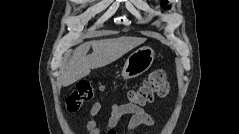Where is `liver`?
Instances as JSON below:
<instances>
[{"label":"liver","instance_id":"6515ba94","mask_svg":"<svg viewBox=\"0 0 239 134\" xmlns=\"http://www.w3.org/2000/svg\"><path fill=\"white\" fill-rule=\"evenodd\" d=\"M145 42L144 38L122 36L93 40L78 46L61 76L63 85H70L90 74L92 69L104 67ZM90 47L92 54L87 55Z\"/></svg>","mask_w":239,"mask_h":134}]
</instances>
